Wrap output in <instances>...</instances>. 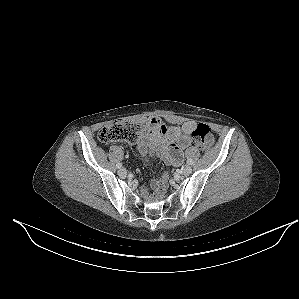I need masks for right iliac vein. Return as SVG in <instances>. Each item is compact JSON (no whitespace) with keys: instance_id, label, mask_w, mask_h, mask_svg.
Listing matches in <instances>:
<instances>
[{"instance_id":"obj_1","label":"right iliac vein","mask_w":299,"mask_h":299,"mask_svg":"<svg viewBox=\"0 0 299 299\" xmlns=\"http://www.w3.org/2000/svg\"><path fill=\"white\" fill-rule=\"evenodd\" d=\"M118 175H119L120 177H122V178H125V177L127 176V171H126V169H124V168H120V169L118 170Z\"/></svg>"}]
</instances>
